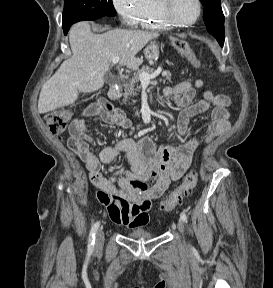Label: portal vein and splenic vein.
<instances>
[{
    "label": "portal vein and splenic vein",
    "instance_id": "obj_1",
    "mask_svg": "<svg viewBox=\"0 0 273 288\" xmlns=\"http://www.w3.org/2000/svg\"><path fill=\"white\" fill-rule=\"evenodd\" d=\"M120 61V58L119 57H114L112 59V64H117L118 62ZM161 72V68L159 67L155 72L149 74V73H146V72H142L140 75H139V79L141 81V83L143 84H149L150 83V80L151 79H154L156 78Z\"/></svg>",
    "mask_w": 273,
    "mask_h": 288
}]
</instances>
